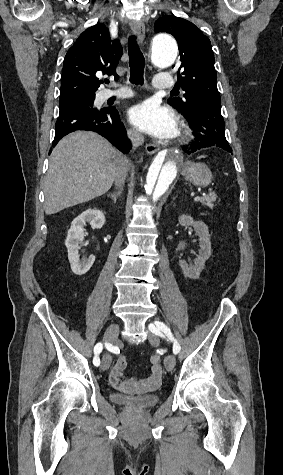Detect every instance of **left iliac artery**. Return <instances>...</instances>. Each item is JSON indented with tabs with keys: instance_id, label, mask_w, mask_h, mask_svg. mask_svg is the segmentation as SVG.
<instances>
[{
	"instance_id": "obj_1",
	"label": "left iliac artery",
	"mask_w": 283,
	"mask_h": 475,
	"mask_svg": "<svg viewBox=\"0 0 283 475\" xmlns=\"http://www.w3.org/2000/svg\"><path fill=\"white\" fill-rule=\"evenodd\" d=\"M155 326L153 324H150L149 329L155 334H160V330L163 331L174 342L173 353L177 354L180 351L181 347L179 343L174 339L170 328H168L163 322H159V321L155 322Z\"/></svg>"
}]
</instances>
